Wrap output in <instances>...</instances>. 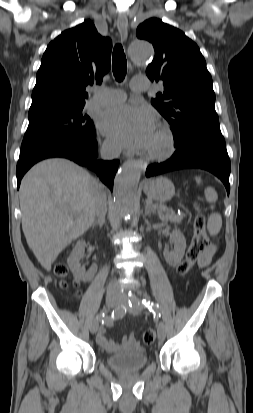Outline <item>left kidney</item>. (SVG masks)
Returning a JSON list of instances; mask_svg holds the SVG:
<instances>
[{"mask_svg":"<svg viewBox=\"0 0 253 413\" xmlns=\"http://www.w3.org/2000/svg\"><path fill=\"white\" fill-rule=\"evenodd\" d=\"M170 243L174 245V249L170 251L168 247H165L163 255L169 265L175 266L182 260L186 249V239L179 229L172 231Z\"/></svg>","mask_w":253,"mask_h":413,"instance_id":"5707ae66","label":"left kidney"}]
</instances>
